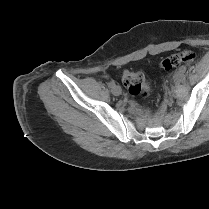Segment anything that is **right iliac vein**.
<instances>
[{"mask_svg": "<svg viewBox=\"0 0 209 209\" xmlns=\"http://www.w3.org/2000/svg\"><path fill=\"white\" fill-rule=\"evenodd\" d=\"M111 91L115 96L120 95L122 92L121 87L119 85L113 86Z\"/></svg>", "mask_w": 209, "mask_h": 209, "instance_id": "63e3f726", "label": "right iliac vein"}]
</instances>
